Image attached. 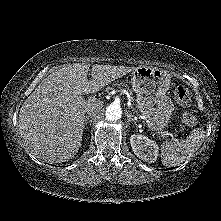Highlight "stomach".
Masks as SVG:
<instances>
[{
  "mask_svg": "<svg viewBox=\"0 0 221 221\" xmlns=\"http://www.w3.org/2000/svg\"><path fill=\"white\" fill-rule=\"evenodd\" d=\"M131 85L136 93L138 110L153 131L163 130L169 123L174 104L166 95L171 76L163 69L139 66L132 72Z\"/></svg>",
  "mask_w": 221,
  "mask_h": 221,
  "instance_id": "obj_1",
  "label": "stomach"
}]
</instances>
